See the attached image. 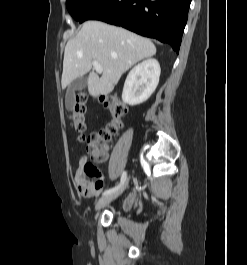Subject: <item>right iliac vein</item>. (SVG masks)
<instances>
[{"mask_svg": "<svg viewBox=\"0 0 247 265\" xmlns=\"http://www.w3.org/2000/svg\"><path fill=\"white\" fill-rule=\"evenodd\" d=\"M127 184H128V181H125L124 184L118 190L100 198L95 205V210L98 211L104 208L109 203H111L113 200H115L118 196H120L122 192L125 190Z\"/></svg>", "mask_w": 247, "mask_h": 265, "instance_id": "obj_1", "label": "right iliac vein"}]
</instances>
